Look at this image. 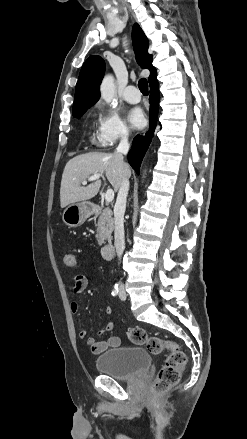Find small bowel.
<instances>
[{
  "instance_id": "obj_1",
  "label": "small bowel",
  "mask_w": 247,
  "mask_h": 439,
  "mask_svg": "<svg viewBox=\"0 0 247 439\" xmlns=\"http://www.w3.org/2000/svg\"><path fill=\"white\" fill-rule=\"evenodd\" d=\"M88 285V279L84 275H76L73 278V283L71 286L72 291L75 294L82 293ZM70 310L73 313H77L79 311V305L76 301H72L70 303ZM112 312V309L108 306L105 308V313L107 315H110ZM114 327L113 322L109 321L106 323L103 329L99 331V335L109 333ZM79 338L82 340H85L86 345L90 348L91 352L93 354H101L108 348L117 347L120 345L121 340L117 336L108 335L104 340L102 341H96L94 338L87 337V331L81 330L79 332Z\"/></svg>"
}]
</instances>
